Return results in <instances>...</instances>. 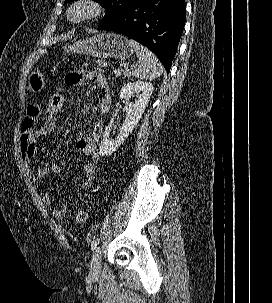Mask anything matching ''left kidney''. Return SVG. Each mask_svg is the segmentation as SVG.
I'll return each instance as SVG.
<instances>
[{
	"label": "left kidney",
	"instance_id": "left-kidney-1",
	"mask_svg": "<svg viewBox=\"0 0 272 303\" xmlns=\"http://www.w3.org/2000/svg\"><path fill=\"white\" fill-rule=\"evenodd\" d=\"M153 89L152 83L143 81L129 82L123 85L120 92V98L125 103L124 110L126 112V117L115 139H109L113 120L106 127L99 147V154L101 156H110L124 143L125 139L136 127L144 113ZM134 94H136L137 100H135V103H131L129 100Z\"/></svg>",
	"mask_w": 272,
	"mask_h": 303
}]
</instances>
